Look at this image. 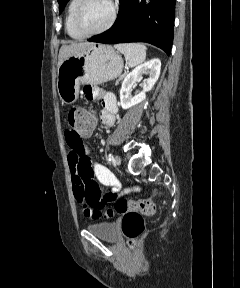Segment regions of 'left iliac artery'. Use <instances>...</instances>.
<instances>
[{"label": "left iliac artery", "instance_id": "44dca946", "mask_svg": "<svg viewBox=\"0 0 240 288\" xmlns=\"http://www.w3.org/2000/svg\"><path fill=\"white\" fill-rule=\"evenodd\" d=\"M107 159H108V161H114V156H113V154H109L108 156H107Z\"/></svg>", "mask_w": 240, "mask_h": 288}]
</instances>
